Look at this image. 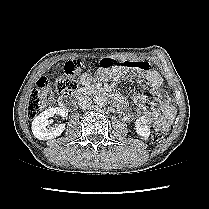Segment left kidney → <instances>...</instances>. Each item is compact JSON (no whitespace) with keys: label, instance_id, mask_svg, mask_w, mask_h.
Masks as SVG:
<instances>
[{"label":"left kidney","instance_id":"5707ae66","mask_svg":"<svg viewBox=\"0 0 209 209\" xmlns=\"http://www.w3.org/2000/svg\"><path fill=\"white\" fill-rule=\"evenodd\" d=\"M135 129L138 135L147 139L150 135V127L147 125V119L145 116H141L135 122Z\"/></svg>","mask_w":209,"mask_h":209}]
</instances>
